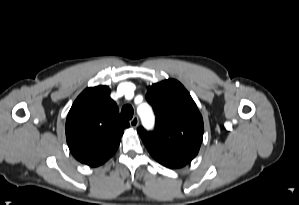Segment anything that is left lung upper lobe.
<instances>
[{
    "mask_svg": "<svg viewBox=\"0 0 299 205\" xmlns=\"http://www.w3.org/2000/svg\"><path fill=\"white\" fill-rule=\"evenodd\" d=\"M146 99L156 115L153 131L138 128L145 145L184 143L200 146L203 138V119L184 86L168 79L147 88Z\"/></svg>",
    "mask_w": 299,
    "mask_h": 205,
    "instance_id": "obj_1",
    "label": "left lung upper lobe"
}]
</instances>
